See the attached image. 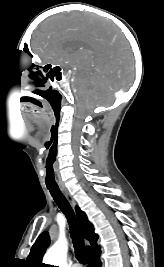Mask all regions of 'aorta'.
<instances>
[{"label": "aorta", "mask_w": 164, "mask_h": 267, "mask_svg": "<svg viewBox=\"0 0 164 267\" xmlns=\"http://www.w3.org/2000/svg\"><path fill=\"white\" fill-rule=\"evenodd\" d=\"M68 245L64 238H60L45 254L46 264L65 267Z\"/></svg>", "instance_id": "1"}]
</instances>
